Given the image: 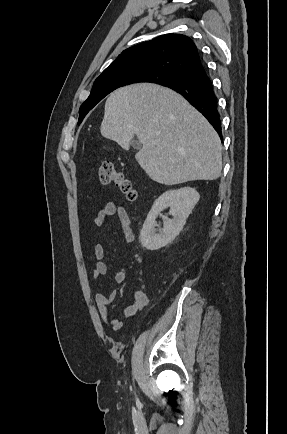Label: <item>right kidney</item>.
Instances as JSON below:
<instances>
[{
    "label": "right kidney",
    "instance_id": "obj_1",
    "mask_svg": "<svg viewBox=\"0 0 287 434\" xmlns=\"http://www.w3.org/2000/svg\"><path fill=\"white\" fill-rule=\"evenodd\" d=\"M200 195L195 188L183 187L169 190L155 200L143 228L140 241L147 250H158L172 242L183 229L186 219L199 201ZM170 207L172 219L163 218V228L156 233V218L164 209Z\"/></svg>",
    "mask_w": 287,
    "mask_h": 434
}]
</instances>
